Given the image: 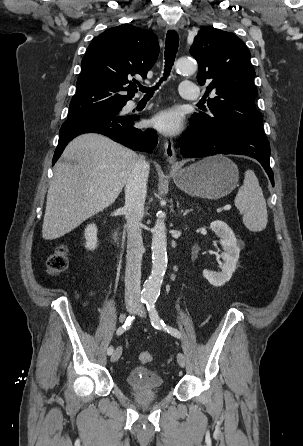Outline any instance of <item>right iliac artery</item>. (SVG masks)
<instances>
[{"instance_id": "right-iliac-artery-1", "label": "right iliac artery", "mask_w": 303, "mask_h": 446, "mask_svg": "<svg viewBox=\"0 0 303 446\" xmlns=\"http://www.w3.org/2000/svg\"><path fill=\"white\" fill-rule=\"evenodd\" d=\"M142 302H146V301H142ZM134 318H135L134 316H129V317H127L125 323H124L121 327L118 328L116 334H117V335H121V334H123V333H124L130 326H131V324H132ZM113 351H114L113 346H110V347L107 349V354H108V355H111V354L113 353Z\"/></svg>"}]
</instances>
